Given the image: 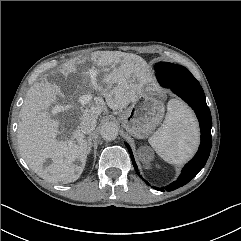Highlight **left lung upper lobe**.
<instances>
[{"mask_svg":"<svg viewBox=\"0 0 241 241\" xmlns=\"http://www.w3.org/2000/svg\"><path fill=\"white\" fill-rule=\"evenodd\" d=\"M155 71L158 76L172 86L197 81L185 67L168 62L157 63L155 65Z\"/></svg>","mask_w":241,"mask_h":241,"instance_id":"1","label":"left lung upper lobe"}]
</instances>
